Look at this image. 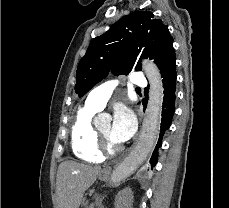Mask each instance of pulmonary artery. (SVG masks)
I'll return each instance as SVG.
<instances>
[{"label": "pulmonary artery", "mask_w": 229, "mask_h": 208, "mask_svg": "<svg viewBox=\"0 0 229 208\" xmlns=\"http://www.w3.org/2000/svg\"><path fill=\"white\" fill-rule=\"evenodd\" d=\"M141 72H130L128 78H112L104 81L101 85L95 87L88 95L85 105L96 111L102 110L109 98L111 97L114 89L119 86L123 81L129 79V82L133 83L134 87H147L145 78H133L130 77H141Z\"/></svg>", "instance_id": "e3ab8cb5"}]
</instances>
